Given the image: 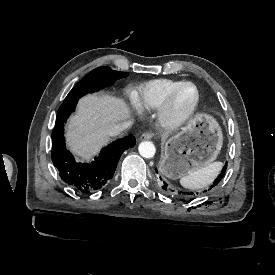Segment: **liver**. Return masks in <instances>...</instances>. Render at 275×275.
I'll use <instances>...</instances> for the list:
<instances>
[{"label": "liver", "mask_w": 275, "mask_h": 275, "mask_svg": "<svg viewBox=\"0 0 275 275\" xmlns=\"http://www.w3.org/2000/svg\"><path fill=\"white\" fill-rule=\"evenodd\" d=\"M126 117L127 109L121 100L109 96L83 98L77 116L69 124V146L83 158H90L109 141L107 129Z\"/></svg>", "instance_id": "liver-1"}]
</instances>
